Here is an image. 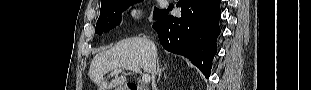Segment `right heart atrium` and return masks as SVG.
Masks as SVG:
<instances>
[{
  "label": "right heart atrium",
  "instance_id": "right-heart-atrium-1",
  "mask_svg": "<svg viewBox=\"0 0 311 90\" xmlns=\"http://www.w3.org/2000/svg\"><path fill=\"white\" fill-rule=\"evenodd\" d=\"M130 16L136 17L138 15V10L137 9H132L129 12Z\"/></svg>",
  "mask_w": 311,
  "mask_h": 90
}]
</instances>
